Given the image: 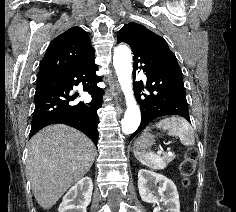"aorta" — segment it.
Segmentation results:
<instances>
[{
    "label": "aorta",
    "instance_id": "1",
    "mask_svg": "<svg viewBox=\"0 0 236 212\" xmlns=\"http://www.w3.org/2000/svg\"><path fill=\"white\" fill-rule=\"evenodd\" d=\"M113 65L127 105L121 123L122 132L132 134L140 125L141 113L132 89V55L128 46L121 44L114 49Z\"/></svg>",
    "mask_w": 236,
    "mask_h": 212
}]
</instances>
